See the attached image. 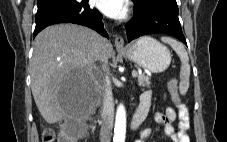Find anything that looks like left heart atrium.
I'll list each match as a JSON object with an SVG mask.
<instances>
[{
    "label": "left heart atrium",
    "mask_w": 227,
    "mask_h": 142,
    "mask_svg": "<svg viewBox=\"0 0 227 142\" xmlns=\"http://www.w3.org/2000/svg\"><path fill=\"white\" fill-rule=\"evenodd\" d=\"M94 5L105 15L122 18L126 13L127 0H93Z\"/></svg>",
    "instance_id": "left-heart-atrium-1"
}]
</instances>
